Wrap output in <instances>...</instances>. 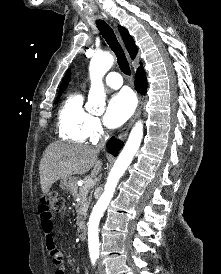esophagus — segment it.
Returning <instances> with one entry per match:
<instances>
[{
  "mask_svg": "<svg viewBox=\"0 0 221 274\" xmlns=\"http://www.w3.org/2000/svg\"><path fill=\"white\" fill-rule=\"evenodd\" d=\"M118 35V39L121 43V45L124 47L123 41L120 37V35L117 33ZM128 55V54H127ZM142 106H143V97L140 95L139 96V102H138V106L137 109L134 113V115L131 117V119L129 120V122L125 125V127L122 129L121 133L118 135V139H122L123 137H125L127 135V133L129 132L130 128L132 127V125L134 124L135 120L137 119V117L140 115L141 110H142Z\"/></svg>",
  "mask_w": 221,
  "mask_h": 274,
  "instance_id": "obj_1",
  "label": "esophagus"
}]
</instances>
